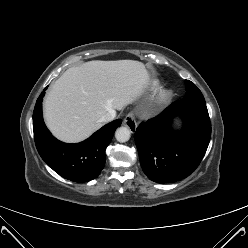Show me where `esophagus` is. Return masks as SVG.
<instances>
[{"label": "esophagus", "mask_w": 248, "mask_h": 248, "mask_svg": "<svg viewBox=\"0 0 248 248\" xmlns=\"http://www.w3.org/2000/svg\"><path fill=\"white\" fill-rule=\"evenodd\" d=\"M124 125L129 128V130L134 133L137 128V122L135 120L134 114L132 112L128 113L124 119Z\"/></svg>", "instance_id": "1"}]
</instances>
